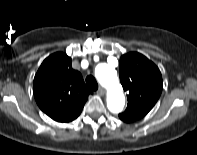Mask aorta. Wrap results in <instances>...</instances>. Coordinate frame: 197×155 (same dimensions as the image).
I'll list each match as a JSON object with an SVG mask.
<instances>
[{"instance_id":"1","label":"aorta","mask_w":197,"mask_h":155,"mask_svg":"<svg viewBox=\"0 0 197 155\" xmlns=\"http://www.w3.org/2000/svg\"><path fill=\"white\" fill-rule=\"evenodd\" d=\"M95 76L101 85L107 89V107L109 111L112 113L121 112L125 105V96L115 69L106 63H101L95 68Z\"/></svg>"}]
</instances>
